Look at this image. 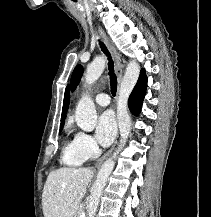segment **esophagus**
<instances>
[{
    "instance_id": "1",
    "label": "esophagus",
    "mask_w": 211,
    "mask_h": 217,
    "mask_svg": "<svg viewBox=\"0 0 211 217\" xmlns=\"http://www.w3.org/2000/svg\"><path fill=\"white\" fill-rule=\"evenodd\" d=\"M99 33H100L102 39L104 40L105 44L107 45V47H108V49L112 55V58L114 60L115 67H116V72H117V77H118V85H120V83L122 81V77H123V69L121 67V59H120L119 53L117 52L116 48L114 47V45L110 41L108 35L105 33V31L101 27H99ZM117 139H118V134H117V138H116L113 146L102 157H100L96 161V163H95L96 166L101 165L105 161V159L111 154V152L113 151V149L117 143Z\"/></svg>"
}]
</instances>
